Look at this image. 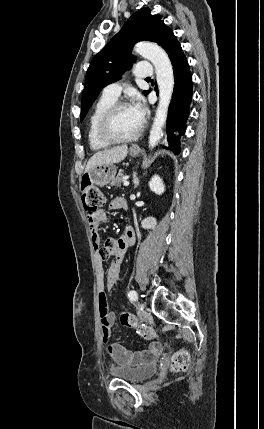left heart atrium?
Segmentation results:
<instances>
[{
  "label": "left heart atrium",
  "mask_w": 264,
  "mask_h": 429,
  "mask_svg": "<svg viewBox=\"0 0 264 429\" xmlns=\"http://www.w3.org/2000/svg\"><path fill=\"white\" fill-rule=\"evenodd\" d=\"M131 109H132L134 115L137 117V119L140 122H143L146 109H145V105H144L141 98H136V100L134 101V103L131 106Z\"/></svg>",
  "instance_id": "39dd6f15"
}]
</instances>
